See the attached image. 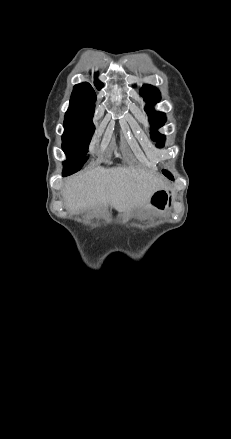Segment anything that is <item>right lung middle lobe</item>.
Segmentation results:
<instances>
[{
	"mask_svg": "<svg viewBox=\"0 0 231 439\" xmlns=\"http://www.w3.org/2000/svg\"><path fill=\"white\" fill-rule=\"evenodd\" d=\"M94 112L66 113L62 147L68 160L64 162L65 171H78L86 161V153L95 131L92 122Z\"/></svg>",
	"mask_w": 231,
	"mask_h": 439,
	"instance_id": "right-lung-middle-lobe-1",
	"label": "right lung middle lobe"
}]
</instances>
